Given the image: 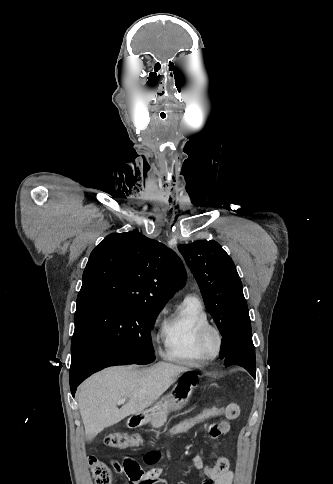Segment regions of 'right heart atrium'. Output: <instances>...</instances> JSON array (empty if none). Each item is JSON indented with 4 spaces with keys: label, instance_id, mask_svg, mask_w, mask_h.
Returning <instances> with one entry per match:
<instances>
[{
    "label": "right heart atrium",
    "instance_id": "right-heart-atrium-1",
    "mask_svg": "<svg viewBox=\"0 0 333 484\" xmlns=\"http://www.w3.org/2000/svg\"><path fill=\"white\" fill-rule=\"evenodd\" d=\"M156 321H157V317H155V318H154V320H153V324H155V323H156Z\"/></svg>",
    "mask_w": 333,
    "mask_h": 484
}]
</instances>
